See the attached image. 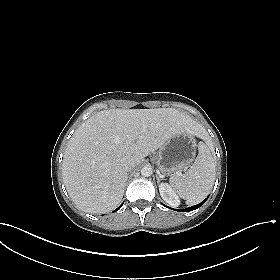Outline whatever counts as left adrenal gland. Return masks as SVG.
<instances>
[{"mask_svg": "<svg viewBox=\"0 0 280 280\" xmlns=\"http://www.w3.org/2000/svg\"><path fill=\"white\" fill-rule=\"evenodd\" d=\"M156 178H157V182L160 183L161 177H159V176L157 175Z\"/></svg>", "mask_w": 280, "mask_h": 280, "instance_id": "obj_1", "label": "left adrenal gland"}]
</instances>
